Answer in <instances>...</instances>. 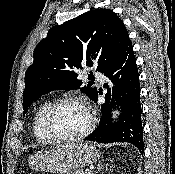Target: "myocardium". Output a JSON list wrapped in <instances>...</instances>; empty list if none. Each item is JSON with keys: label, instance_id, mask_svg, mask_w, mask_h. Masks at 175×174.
I'll use <instances>...</instances> for the list:
<instances>
[{"label": "myocardium", "instance_id": "1", "mask_svg": "<svg viewBox=\"0 0 175 174\" xmlns=\"http://www.w3.org/2000/svg\"><path fill=\"white\" fill-rule=\"evenodd\" d=\"M69 103H75L81 105L87 112L88 115V125L87 127L80 132L79 134L73 135V136H63L58 134L54 127H53V118L56 113V111L63 105L69 104ZM96 123L95 116L93 114L92 108L89 105V103L79 96H67L60 98L54 102L51 103V105L48 107L44 119H43V126L45 129V132L47 135L53 140L57 142H74L81 140L88 136L94 129Z\"/></svg>", "mask_w": 175, "mask_h": 174}]
</instances>
